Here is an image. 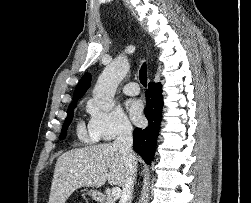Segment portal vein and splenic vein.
<instances>
[{"label":"portal vein and splenic vein","instance_id":"18ae733b","mask_svg":"<svg viewBox=\"0 0 251 203\" xmlns=\"http://www.w3.org/2000/svg\"><path fill=\"white\" fill-rule=\"evenodd\" d=\"M121 190L119 187L112 188L111 192L108 193V197L117 200L120 197Z\"/></svg>","mask_w":251,"mask_h":203}]
</instances>
